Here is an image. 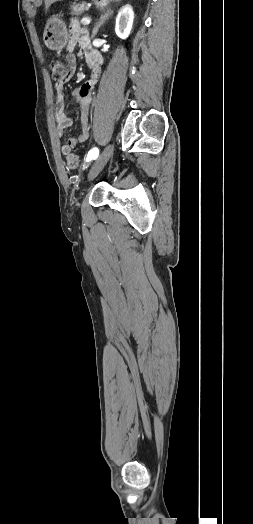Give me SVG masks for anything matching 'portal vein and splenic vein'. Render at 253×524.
Returning a JSON list of instances; mask_svg holds the SVG:
<instances>
[{"instance_id": "obj_1", "label": "portal vein and splenic vein", "mask_w": 253, "mask_h": 524, "mask_svg": "<svg viewBox=\"0 0 253 524\" xmlns=\"http://www.w3.org/2000/svg\"><path fill=\"white\" fill-rule=\"evenodd\" d=\"M90 22H91V19L88 18V17H84V18L81 19V23H82L83 25H89Z\"/></svg>"}]
</instances>
